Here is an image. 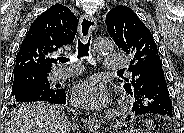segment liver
Masks as SVG:
<instances>
[{"label":"liver","instance_id":"obj_1","mask_svg":"<svg viewBox=\"0 0 184 133\" xmlns=\"http://www.w3.org/2000/svg\"><path fill=\"white\" fill-rule=\"evenodd\" d=\"M66 119L51 104L27 103L8 117L5 133H68Z\"/></svg>","mask_w":184,"mask_h":133}]
</instances>
